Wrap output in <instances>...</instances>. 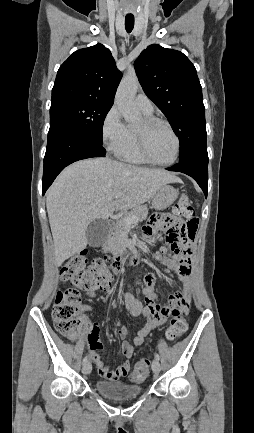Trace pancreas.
Returning a JSON list of instances; mask_svg holds the SVG:
<instances>
[{
    "label": "pancreas",
    "instance_id": "cf45deb5",
    "mask_svg": "<svg viewBox=\"0 0 254 433\" xmlns=\"http://www.w3.org/2000/svg\"><path fill=\"white\" fill-rule=\"evenodd\" d=\"M148 215V208L146 205H139L130 210L129 212H125L123 216L118 219L113 226L112 236L108 239L109 247H120L123 236L126 234V230L128 225L125 223V218L128 217H137L138 221L145 220Z\"/></svg>",
    "mask_w": 254,
    "mask_h": 433
}]
</instances>
